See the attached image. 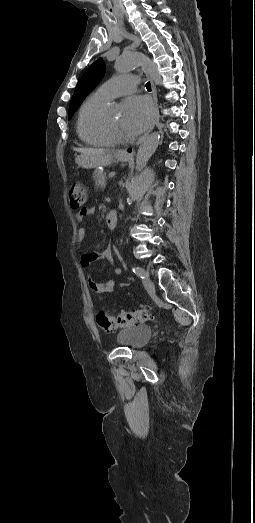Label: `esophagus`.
<instances>
[{
  "instance_id": "1",
  "label": "esophagus",
  "mask_w": 255,
  "mask_h": 523,
  "mask_svg": "<svg viewBox=\"0 0 255 523\" xmlns=\"http://www.w3.org/2000/svg\"><path fill=\"white\" fill-rule=\"evenodd\" d=\"M150 83H151L152 97H153L154 107H155V109H154V116H153V120H152V123L150 124V126L147 128L145 133L137 141V143H136L137 145H140V143H142L143 140L147 137V135H149V133L153 130V128L155 126V123H156V120L158 118V114H159L156 87H155V85H154L152 80H150ZM121 153L126 155V156L131 157V156L135 155V149H134V147H125V148H123L121 150Z\"/></svg>"
}]
</instances>
